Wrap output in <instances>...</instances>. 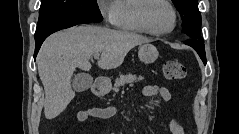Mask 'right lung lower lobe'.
I'll use <instances>...</instances> for the list:
<instances>
[{"label":"right lung lower lobe","mask_w":239,"mask_h":134,"mask_svg":"<svg viewBox=\"0 0 239 134\" xmlns=\"http://www.w3.org/2000/svg\"><path fill=\"white\" fill-rule=\"evenodd\" d=\"M86 23H90L88 21H83V20H74V21H69V22H64V23H61V24H58L52 28H50L49 30H47L46 32H44L43 34L35 37V42H36V46H35V53H34V58L36 57L39 49H40V46L41 44L43 43V41L52 33L58 31V30H61V29H66V28H69V27H72L74 25H77V24H86Z\"/></svg>","instance_id":"1"}]
</instances>
